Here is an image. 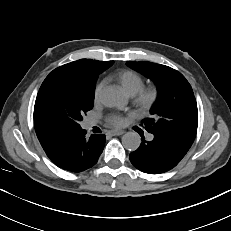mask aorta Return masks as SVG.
Here are the masks:
<instances>
[{
	"label": "aorta",
	"mask_w": 231,
	"mask_h": 231,
	"mask_svg": "<svg viewBox=\"0 0 231 231\" xmlns=\"http://www.w3.org/2000/svg\"><path fill=\"white\" fill-rule=\"evenodd\" d=\"M101 102L107 107H123L126 100L121 91L115 87H106L100 95ZM141 143L140 137L135 132H127L122 137V144L125 149L135 151Z\"/></svg>",
	"instance_id": "762f6f07"
}]
</instances>
